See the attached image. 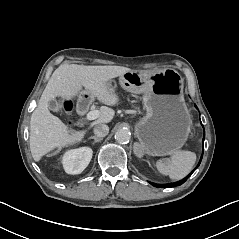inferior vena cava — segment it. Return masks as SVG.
I'll return each instance as SVG.
<instances>
[{
	"label": "inferior vena cava",
	"mask_w": 239,
	"mask_h": 239,
	"mask_svg": "<svg viewBox=\"0 0 239 239\" xmlns=\"http://www.w3.org/2000/svg\"><path fill=\"white\" fill-rule=\"evenodd\" d=\"M93 132L97 137H105L109 133V127L105 124H98L94 127Z\"/></svg>",
	"instance_id": "inferior-vena-cava-1"
}]
</instances>
